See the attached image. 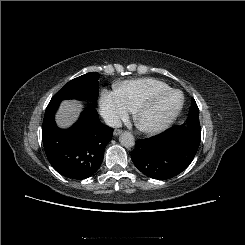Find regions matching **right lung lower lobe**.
Listing matches in <instances>:
<instances>
[{
	"label": "right lung lower lobe",
	"instance_id": "98d812e1",
	"mask_svg": "<svg viewBox=\"0 0 245 245\" xmlns=\"http://www.w3.org/2000/svg\"><path fill=\"white\" fill-rule=\"evenodd\" d=\"M59 103L49 104L42 124L46 156L61 175L76 180L92 176L100 167L104 149L113 129L100 123L94 107L89 106L71 128L56 126L54 115Z\"/></svg>",
	"mask_w": 245,
	"mask_h": 245
}]
</instances>
